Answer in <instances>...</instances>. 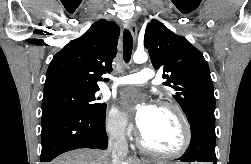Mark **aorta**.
<instances>
[{"label": "aorta", "mask_w": 251, "mask_h": 164, "mask_svg": "<svg viewBox=\"0 0 251 164\" xmlns=\"http://www.w3.org/2000/svg\"><path fill=\"white\" fill-rule=\"evenodd\" d=\"M147 59H148V55L144 51H136L133 55V61L138 64L146 62Z\"/></svg>", "instance_id": "aorta-1"}]
</instances>
